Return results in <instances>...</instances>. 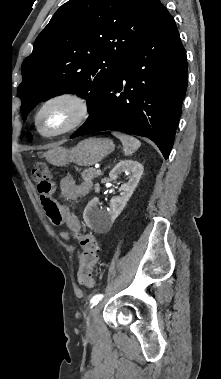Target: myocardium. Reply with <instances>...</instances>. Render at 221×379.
I'll return each mask as SVG.
<instances>
[{"label":"myocardium","instance_id":"obj_1","mask_svg":"<svg viewBox=\"0 0 221 379\" xmlns=\"http://www.w3.org/2000/svg\"><path fill=\"white\" fill-rule=\"evenodd\" d=\"M61 104L66 106L70 115L66 123L53 131H45L41 127V118L51 106ZM90 103L86 97L73 91H63L43 99L33 114V126L36 133L43 138H55L69 133L81 126L90 115Z\"/></svg>","mask_w":221,"mask_h":379}]
</instances>
